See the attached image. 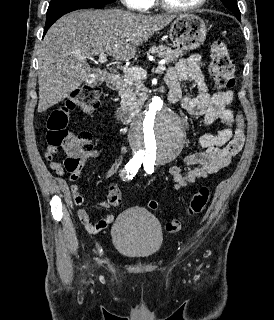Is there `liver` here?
<instances>
[{"label":"liver","mask_w":274,"mask_h":320,"mask_svg":"<svg viewBox=\"0 0 274 320\" xmlns=\"http://www.w3.org/2000/svg\"><path fill=\"white\" fill-rule=\"evenodd\" d=\"M174 18L110 8L76 10L57 20L38 50V112L62 102L88 80L91 68L87 58L109 54L118 62H128L135 58L137 46Z\"/></svg>","instance_id":"6515ba94"}]
</instances>
